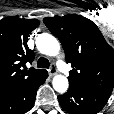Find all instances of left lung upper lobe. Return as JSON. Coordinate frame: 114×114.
I'll return each instance as SVG.
<instances>
[{
  "mask_svg": "<svg viewBox=\"0 0 114 114\" xmlns=\"http://www.w3.org/2000/svg\"><path fill=\"white\" fill-rule=\"evenodd\" d=\"M47 28L59 38L66 62L73 70L69 84L111 95L114 88V50L98 27L75 14L44 18Z\"/></svg>",
  "mask_w": 114,
  "mask_h": 114,
  "instance_id": "1",
  "label": "left lung upper lobe"
}]
</instances>
